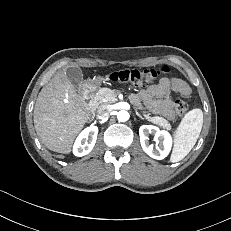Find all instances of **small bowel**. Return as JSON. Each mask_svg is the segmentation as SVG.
Instances as JSON below:
<instances>
[{
	"instance_id": "1",
	"label": "small bowel",
	"mask_w": 231,
	"mask_h": 231,
	"mask_svg": "<svg viewBox=\"0 0 231 231\" xmlns=\"http://www.w3.org/2000/svg\"><path fill=\"white\" fill-rule=\"evenodd\" d=\"M189 96L191 93L188 84L179 78H162L156 84L147 87L141 92V97L149 108L168 119L174 118L171 93Z\"/></svg>"
}]
</instances>
